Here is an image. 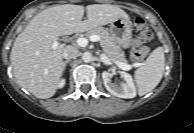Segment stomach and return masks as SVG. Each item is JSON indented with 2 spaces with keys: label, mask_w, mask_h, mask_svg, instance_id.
I'll return each instance as SVG.
<instances>
[{
  "label": "stomach",
  "mask_w": 194,
  "mask_h": 133,
  "mask_svg": "<svg viewBox=\"0 0 194 133\" xmlns=\"http://www.w3.org/2000/svg\"><path fill=\"white\" fill-rule=\"evenodd\" d=\"M109 32L123 48H128L132 38V25L129 18H118L110 24Z\"/></svg>",
  "instance_id": "1"
}]
</instances>
